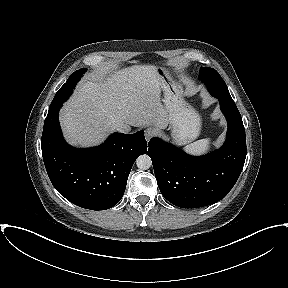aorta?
<instances>
[{"label": "aorta", "mask_w": 288, "mask_h": 288, "mask_svg": "<svg viewBox=\"0 0 288 288\" xmlns=\"http://www.w3.org/2000/svg\"><path fill=\"white\" fill-rule=\"evenodd\" d=\"M136 165L140 170H147L152 165L151 158L147 154L141 155L137 158Z\"/></svg>", "instance_id": "aorta-1"}]
</instances>
